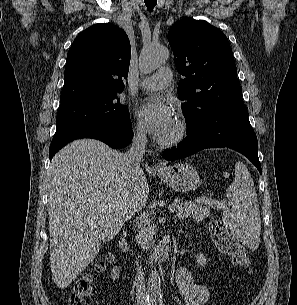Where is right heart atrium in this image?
<instances>
[{"mask_svg": "<svg viewBox=\"0 0 297 305\" xmlns=\"http://www.w3.org/2000/svg\"><path fill=\"white\" fill-rule=\"evenodd\" d=\"M131 133L135 141L142 142L146 138L145 129L143 128V126L139 121H136L132 124Z\"/></svg>", "mask_w": 297, "mask_h": 305, "instance_id": "right-heart-atrium-1", "label": "right heart atrium"}]
</instances>
